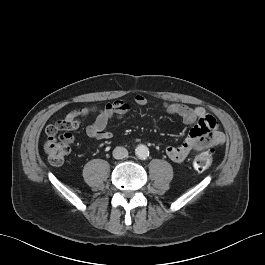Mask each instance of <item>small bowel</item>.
Here are the masks:
<instances>
[{
  "label": "small bowel",
  "instance_id": "small-bowel-1",
  "mask_svg": "<svg viewBox=\"0 0 265 265\" xmlns=\"http://www.w3.org/2000/svg\"><path fill=\"white\" fill-rule=\"evenodd\" d=\"M136 105L143 107L147 105V99L142 95L135 97ZM164 108L170 115L179 116L187 124H194L185 140L178 146H168L166 154L169 159L175 163L183 162L190 152L209 146L223 145L225 136L219 130L216 120L209 115L204 108H192L179 103L165 104ZM131 106L123 101H116L108 104L104 109L98 112L95 121L87 126L86 134L88 137L96 140L110 139L112 134L108 130L109 122L113 117H122L128 113ZM82 114L81 110H72L67 117L74 123V129L78 127V116ZM211 133L208 136V133Z\"/></svg>",
  "mask_w": 265,
  "mask_h": 265
}]
</instances>
